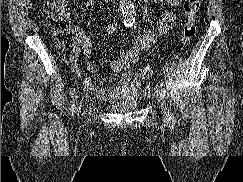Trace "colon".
Here are the masks:
<instances>
[{
  "label": "colon",
  "instance_id": "colon-1",
  "mask_svg": "<svg viewBox=\"0 0 243 182\" xmlns=\"http://www.w3.org/2000/svg\"><path fill=\"white\" fill-rule=\"evenodd\" d=\"M200 5L201 0H184L185 22L181 37L182 47L188 46L196 35L197 14ZM43 15L48 28L53 33V40L59 54L67 61L73 59L77 50V42L69 23L67 0H47L43 6ZM153 73L151 67H144L138 70L137 76L142 80H148Z\"/></svg>",
  "mask_w": 243,
  "mask_h": 182
}]
</instances>
